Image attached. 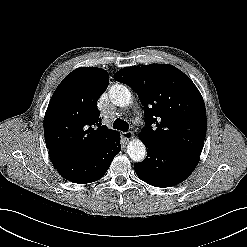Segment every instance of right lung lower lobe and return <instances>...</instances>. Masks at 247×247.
Segmentation results:
<instances>
[{
	"instance_id": "98d812e1",
	"label": "right lung lower lobe",
	"mask_w": 247,
	"mask_h": 247,
	"mask_svg": "<svg viewBox=\"0 0 247 247\" xmlns=\"http://www.w3.org/2000/svg\"><path fill=\"white\" fill-rule=\"evenodd\" d=\"M120 150V139L117 135L95 154L86 158L67 157L55 152H49V156L61 176L73 183L84 184L100 179Z\"/></svg>"
}]
</instances>
